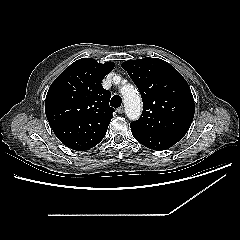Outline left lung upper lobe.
<instances>
[{
	"label": "left lung upper lobe",
	"mask_w": 240,
	"mask_h": 240,
	"mask_svg": "<svg viewBox=\"0 0 240 240\" xmlns=\"http://www.w3.org/2000/svg\"><path fill=\"white\" fill-rule=\"evenodd\" d=\"M138 87L143 113L130 127L143 133L185 135L195 104L188 83L169 63L146 57L121 64Z\"/></svg>",
	"instance_id": "5c2ea615"
}]
</instances>
